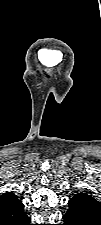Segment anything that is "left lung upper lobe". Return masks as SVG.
<instances>
[{"label": "left lung upper lobe", "mask_w": 101, "mask_h": 225, "mask_svg": "<svg viewBox=\"0 0 101 225\" xmlns=\"http://www.w3.org/2000/svg\"><path fill=\"white\" fill-rule=\"evenodd\" d=\"M69 209L81 210L96 215H101L100 203L86 193H77L69 201Z\"/></svg>", "instance_id": "1"}]
</instances>
